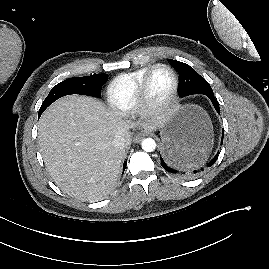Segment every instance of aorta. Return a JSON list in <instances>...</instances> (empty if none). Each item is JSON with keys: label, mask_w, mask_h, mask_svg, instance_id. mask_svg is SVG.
<instances>
[{"label": "aorta", "mask_w": 269, "mask_h": 269, "mask_svg": "<svg viewBox=\"0 0 269 269\" xmlns=\"http://www.w3.org/2000/svg\"><path fill=\"white\" fill-rule=\"evenodd\" d=\"M141 147L145 152H153L156 148V142L152 138H146L142 141Z\"/></svg>", "instance_id": "762f6f07"}]
</instances>
